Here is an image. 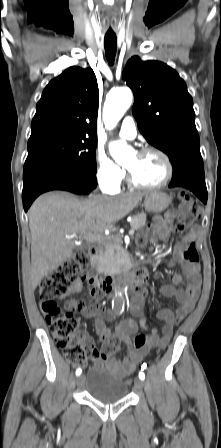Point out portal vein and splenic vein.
I'll return each instance as SVG.
<instances>
[{
    "label": "portal vein and splenic vein",
    "mask_w": 221,
    "mask_h": 448,
    "mask_svg": "<svg viewBox=\"0 0 221 448\" xmlns=\"http://www.w3.org/2000/svg\"><path fill=\"white\" fill-rule=\"evenodd\" d=\"M134 233H135V230H134V229H130V231L128 232V234H129L130 236L134 235ZM85 239H86L88 242H100V241H106V240H107V239H105L104 237H102L101 235H96V234H92V233H88V234L85 236Z\"/></svg>",
    "instance_id": "1"
}]
</instances>
